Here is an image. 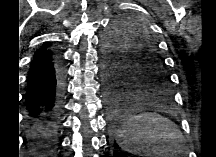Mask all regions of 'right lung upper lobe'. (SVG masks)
I'll use <instances>...</instances> for the list:
<instances>
[{
  "mask_svg": "<svg viewBox=\"0 0 216 157\" xmlns=\"http://www.w3.org/2000/svg\"><path fill=\"white\" fill-rule=\"evenodd\" d=\"M50 44L49 43H44L38 50L35 52L34 57L42 54L43 52L48 51Z\"/></svg>",
  "mask_w": 216,
  "mask_h": 157,
  "instance_id": "cb5924a9",
  "label": "right lung upper lobe"
}]
</instances>
